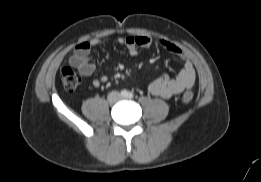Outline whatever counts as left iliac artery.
<instances>
[{"mask_svg":"<svg viewBox=\"0 0 261 182\" xmlns=\"http://www.w3.org/2000/svg\"><path fill=\"white\" fill-rule=\"evenodd\" d=\"M127 97L130 98V99L133 98V93H132V92H129V93L127 94Z\"/></svg>","mask_w":261,"mask_h":182,"instance_id":"1","label":"left iliac artery"}]
</instances>
